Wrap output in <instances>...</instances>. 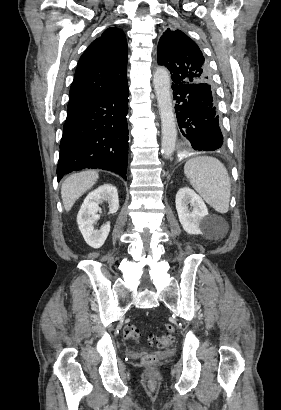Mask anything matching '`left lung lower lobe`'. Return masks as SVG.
Wrapping results in <instances>:
<instances>
[{"mask_svg":"<svg viewBox=\"0 0 281 410\" xmlns=\"http://www.w3.org/2000/svg\"><path fill=\"white\" fill-rule=\"evenodd\" d=\"M175 111L182 135L193 149L214 151L223 146L213 89L207 83L172 84Z\"/></svg>","mask_w":281,"mask_h":410,"instance_id":"obj_1","label":"left lung lower lobe"}]
</instances>
